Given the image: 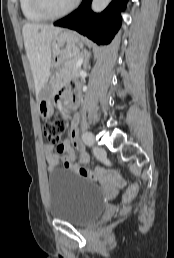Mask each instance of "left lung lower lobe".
I'll list each match as a JSON object with an SVG mask.
<instances>
[{
  "label": "left lung lower lobe",
  "mask_w": 174,
  "mask_h": 258,
  "mask_svg": "<svg viewBox=\"0 0 174 258\" xmlns=\"http://www.w3.org/2000/svg\"><path fill=\"white\" fill-rule=\"evenodd\" d=\"M91 2L92 0H83L78 9L56 21L54 25L76 30L98 45L108 44L120 28V12L125 8L127 0H112L100 14L92 12Z\"/></svg>",
  "instance_id": "0a47b994"
}]
</instances>
